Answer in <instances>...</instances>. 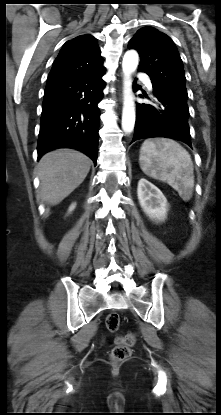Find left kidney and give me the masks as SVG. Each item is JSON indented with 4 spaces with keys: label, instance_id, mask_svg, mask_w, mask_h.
<instances>
[{
    "label": "left kidney",
    "instance_id": "5707ae66",
    "mask_svg": "<svg viewBox=\"0 0 221 415\" xmlns=\"http://www.w3.org/2000/svg\"><path fill=\"white\" fill-rule=\"evenodd\" d=\"M137 195L141 208L150 219L165 220L168 203L163 193L155 185L144 178L140 179Z\"/></svg>",
    "mask_w": 221,
    "mask_h": 415
}]
</instances>
